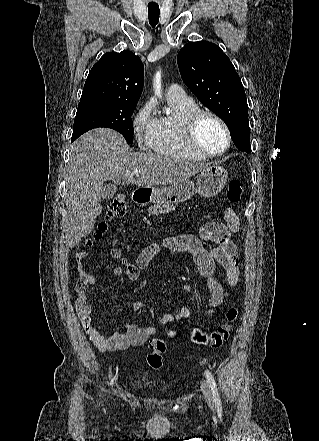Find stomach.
Here are the masks:
<instances>
[{
	"label": "stomach",
	"instance_id": "0dacf381",
	"mask_svg": "<svg viewBox=\"0 0 319 441\" xmlns=\"http://www.w3.org/2000/svg\"><path fill=\"white\" fill-rule=\"evenodd\" d=\"M228 172L221 166L209 165L198 176L197 187L191 180H184L167 188L150 190L151 199L157 204H177L190 199L194 193L210 198L222 191Z\"/></svg>",
	"mask_w": 319,
	"mask_h": 441
}]
</instances>
